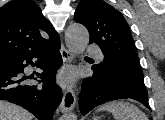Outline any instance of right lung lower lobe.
Segmentation results:
<instances>
[{
  "mask_svg": "<svg viewBox=\"0 0 165 120\" xmlns=\"http://www.w3.org/2000/svg\"><path fill=\"white\" fill-rule=\"evenodd\" d=\"M59 37L29 52L0 62V100L20 105L38 120H51L62 100V91L55 84V73L62 65ZM36 66L43 73H36L42 86L32 84L24 74L28 65ZM36 80V78H34Z\"/></svg>",
  "mask_w": 165,
  "mask_h": 120,
  "instance_id": "1",
  "label": "right lung lower lobe"
}]
</instances>
